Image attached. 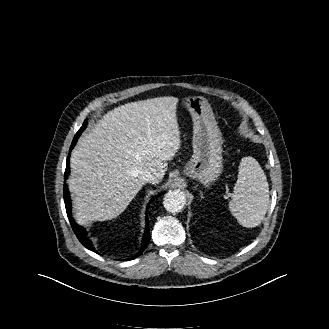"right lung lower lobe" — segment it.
I'll return each instance as SVG.
<instances>
[{"mask_svg": "<svg viewBox=\"0 0 329 329\" xmlns=\"http://www.w3.org/2000/svg\"><path fill=\"white\" fill-rule=\"evenodd\" d=\"M73 146L70 147V150L73 148ZM69 161H70V159H69V156H68L67 157L65 174H64V180L65 181L68 178V175L70 173V167H69L70 162ZM157 196H159V195H156L154 198H156ZM152 201H153V199H152ZM64 202H65V207H66V212H67L68 219L70 221L72 229H73L74 233L76 234L77 238L79 239V241L82 243V245L84 247H86L87 249H89L91 251L96 252L95 248L92 245L91 240H89L88 237H87L85 229L82 226L77 225L74 222V220L71 216V201H70V195H69L68 187H67L66 184H64ZM148 225H149L148 216L146 215V228H145V233L143 235L142 247L139 250V252L135 255L134 258L141 255L142 252L147 248V246L150 242V231H149V226Z\"/></svg>", "mask_w": 329, "mask_h": 329, "instance_id": "1", "label": "right lung lower lobe"}]
</instances>
